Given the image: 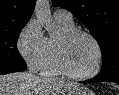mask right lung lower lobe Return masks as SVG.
I'll return each instance as SVG.
<instances>
[{"label": "right lung lower lobe", "mask_w": 119, "mask_h": 95, "mask_svg": "<svg viewBox=\"0 0 119 95\" xmlns=\"http://www.w3.org/2000/svg\"><path fill=\"white\" fill-rule=\"evenodd\" d=\"M25 68L17 67V66H9V65H0V75L9 74L16 71H24Z\"/></svg>", "instance_id": "98d812e1"}]
</instances>
